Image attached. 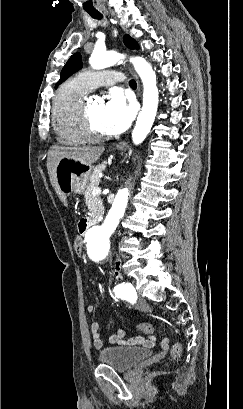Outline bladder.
<instances>
[{
  "mask_svg": "<svg viewBox=\"0 0 243 409\" xmlns=\"http://www.w3.org/2000/svg\"><path fill=\"white\" fill-rule=\"evenodd\" d=\"M151 355L152 351L147 348L108 346L99 351L98 357L101 363L111 366L119 371H126Z\"/></svg>",
  "mask_w": 243,
  "mask_h": 409,
  "instance_id": "31cf9c89",
  "label": "bladder"
}]
</instances>
